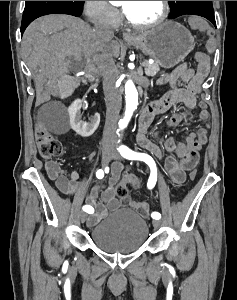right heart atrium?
Masks as SVG:
<instances>
[{
    "mask_svg": "<svg viewBox=\"0 0 237 300\" xmlns=\"http://www.w3.org/2000/svg\"><path fill=\"white\" fill-rule=\"evenodd\" d=\"M84 12L96 26L116 28L121 22L120 13L107 1H85Z\"/></svg>",
    "mask_w": 237,
    "mask_h": 300,
    "instance_id": "obj_1",
    "label": "right heart atrium"
}]
</instances>
